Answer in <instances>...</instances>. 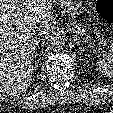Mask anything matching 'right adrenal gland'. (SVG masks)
Wrapping results in <instances>:
<instances>
[{
    "label": "right adrenal gland",
    "mask_w": 113,
    "mask_h": 113,
    "mask_svg": "<svg viewBox=\"0 0 113 113\" xmlns=\"http://www.w3.org/2000/svg\"><path fill=\"white\" fill-rule=\"evenodd\" d=\"M38 42H39V41H38V38H37V43H36V45H38Z\"/></svg>",
    "instance_id": "obj_1"
}]
</instances>
